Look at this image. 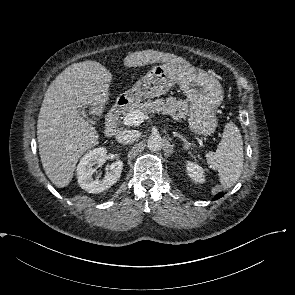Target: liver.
I'll use <instances>...</instances> for the list:
<instances>
[{
	"label": "liver",
	"instance_id": "obj_1",
	"mask_svg": "<svg viewBox=\"0 0 295 295\" xmlns=\"http://www.w3.org/2000/svg\"><path fill=\"white\" fill-rule=\"evenodd\" d=\"M156 62L190 65L182 57L154 50L134 52L124 59L126 67ZM110 71L96 61L74 63L49 85L37 121L42 166L57 187L70 184L79 158L98 144L99 134L79 112L100 116L109 98Z\"/></svg>",
	"mask_w": 295,
	"mask_h": 295
}]
</instances>
